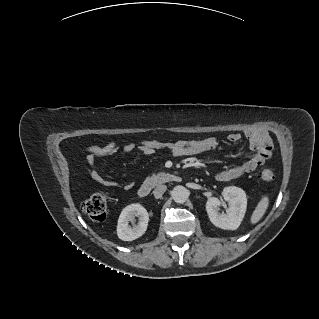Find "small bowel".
Listing matches in <instances>:
<instances>
[{
	"instance_id": "1",
	"label": "small bowel",
	"mask_w": 319,
	"mask_h": 319,
	"mask_svg": "<svg viewBox=\"0 0 319 319\" xmlns=\"http://www.w3.org/2000/svg\"><path fill=\"white\" fill-rule=\"evenodd\" d=\"M250 149L254 154L247 160L224 168L217 172L216 179L220 182H226L237 179L246 173L253 172L259 166L265 163L264 157L258 150V147L265 141L269 140L266 132H256L247 135ZM228 141L237 143L242 136L239 133L233 132L228 135ZM136 148L144 155H151L159 150L169 152L174 157H193L199 156L206 152L213 150H220L221 146L215 137H207L197 140H177L173 142L145 140L138 145L135 143H128L123 146L122 150L125 153H132ZM121 146L111 141L101 146H93L86 150L87 156L84 162V167L89 177L95 182L109 187H120L129 189L132 187L131 182H120L111 176L105 168L98 163V158L112 156L119 152Z\"/></svg>"
}]
</instances>
